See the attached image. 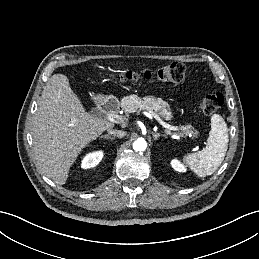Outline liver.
<instances>
[{"mask_svg":"<svg viewBox=\"0 0 259 259\" xmlns=\"http://www.w3.org/2000/svg\"><path fill=\"white\" fill-rule=\"evenodd\" d=\"M113 127V123L87 113L68 78L54 74L42 91L33 119V148L39 168L56 184H65L82 149Z\"/></svg>","mask_w":259,"mask_h":259,"instance_id":"obj_1","label":"liver"}]
</instances>
